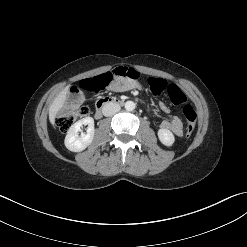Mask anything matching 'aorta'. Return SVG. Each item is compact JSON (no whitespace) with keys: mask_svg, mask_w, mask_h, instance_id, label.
Returning <instances> with one entry per match:
<instances>
[{"mask_svg":"<svg viewBox=\"0 0 247 247\" xmlns=\"http://www.w3.org/2000/svg\"><path fill=\"white\" fill-rule=\"evenodd\" d=\"M135 107H136V104L133 101H127L125 103V109L127 111H133L135 109Z\"/></svg>","mask_w":247,"mask_h":247,"instance_id":"1","label":"aorta"}]
</instances>
